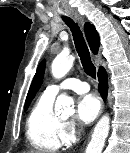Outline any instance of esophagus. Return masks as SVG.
Instances as JSON below:
<instances>
[{
	"label": "esophagus",
	"instance_id": "esophagus-1",
	"mask_svg": "<svg viewBox=\"0 0 130 153\" xmlns=\"http://www.w3.org/2000/svg\"><path fill=\"white\" fill-rule=\"evenodd\" d=\"M74 17H75L81 24L83 23V19H82L81 16L75 15ZM103 108H104V106L102 105L100 113L102 112Z\"/></svg>",
	"mask_w": 130,
	"mask_h": 153
}]
</instances>
